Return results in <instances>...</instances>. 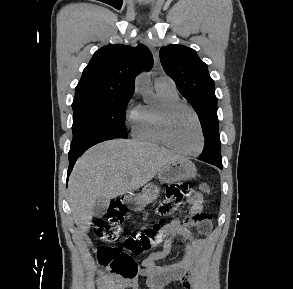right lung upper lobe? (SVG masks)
Listing matches in <instances>:
<instances>
[{
	"instance_id": "right-lung-upper-lobe-1",
	"label": "right lung upper lobe",
	"mask_w": 293,
	"mask_h": 289,
	"mask_svg": "<svg viewBox=\"0 0 293 289\" xmlns=\"http://www.w3.org/2000/svg\"><path fill=\"white\" fill-rule=\"evenodd\" d=\"M153 57L144 45H107L93 55L75 89L74 101L132 96L135 75L150 70Z\"/></svg>"
}]
</instances>
